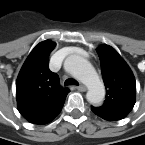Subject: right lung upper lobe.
I'll use <instances>...</instances> for the list:
<instances>
[{"label":"right lung upper lobe","mask_w":145,"mask_h":145,"mask_svg":"<svg viewBox=\"0 0 145 145\" xmlns=\"http://www.w3.org/2000/svg\"><path fill=\"white\" fill-rule=\"evenodd\" d=\"M56 44L40 42L22 66L16 82L19 112L31 123L46 124L61 111L69 90L49 69V54Z\"/></svg>","instance_id":"1"}]
</instances>
